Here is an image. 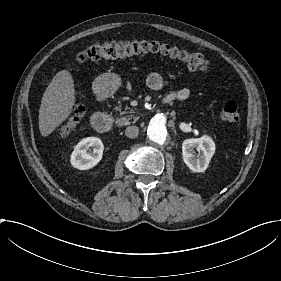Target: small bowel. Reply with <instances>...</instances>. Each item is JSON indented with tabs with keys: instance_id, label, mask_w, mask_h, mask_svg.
Returning <instances> with one entry per match:
<instances>
[{
	"instance_id": "c3829d8e",
	"label": "small bowel",
	"mask_w": 281,
	"mask_h": 281,
	"mask_svg": "<svg viewBox=\"0 0 281 281\" xmlns=\"http://www.w3.org/2000/svg\"><path fill=\"white\" fill-rule=\"evenodd\" d=\"M147 84L151 90L159 91L162 89L164 82L158 73L152 72L147 77ZM190 94L191 90L186 86H182L176 89L170 98L174 97L177 101H185L189 98Z\"/></svg>"
}]
</instances>
